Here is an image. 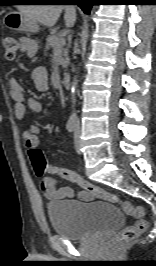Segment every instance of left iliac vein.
I'll use <instances>...</instances> for the list:
<instances>
[{
  "label": "left iliac vein",
  "mask_w": 156,
  "mask_h": 266,
  "mask_svg": "<svg viewBox=\"0 0 156 266\" xmlns=\"http://www.w3.org/2000/svg\"><path fill=\"white\" fill-rule=\"evenodd\" d=\"M80 135H81V126H80V122L77 121L75 132H74V145H75V149H76L78 154L81 153V151H80Z\"/></svg>",
  "instance_id": "obj_1"
}]
</instances>
